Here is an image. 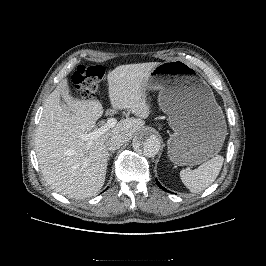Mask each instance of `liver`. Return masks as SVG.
I'll list each match as a JSON object with an SVG mask.
<instances>
[{"label": "liver", "instance_id": "liver-1", "mask_svg": "<svg viewBox=\"0 0 266 266\" xmlns=\"http://www.w3.org/2000/svg\"><path fill=\"white\" fill-rule=\"evenodd\" d=\"M159 64L120 65L108 74L112 108L129 110L135 117L118 122L91 144L80 135L96 127V121L103 115L102 104L96 99L74 98L67 79L56 86L44 103L35 134L40 170L52 189L75 199L91 197L100 191L109 160L105 142L112 135H121L128 141L144 127V119L150 114L145 82ZM62 104L67 106L68 111Z\"/></svg>", "mask_w": 266, "mask_h": 266}]
</instances>
